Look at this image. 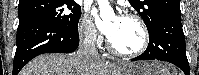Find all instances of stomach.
<instances>
[{"label": "stomach", "instance_id": "1", "mask_svg": "<svg viewBox=\"0 0 199 75\" xmlns=\"http://www.w3.org/2000/svg\"><path fill=\"white\" fill-rule=\"evenodd\" d=\"M164 68L169 69L170 66L161 62H134L114 69L113 75H172V70L167 73Z\"/></svg>", "mask_w": 199, "mask_h": 75}]
</instances>
